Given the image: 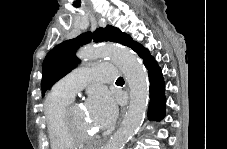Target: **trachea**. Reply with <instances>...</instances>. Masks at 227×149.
<instances>
[{"label":"trachea","mask_w":227,"mask_h":149,"mask_svg":"<svg viewBox=\"0 0 227 149\" xmlns=\"http://www.w3.org/2000/svg\"><path fill=\"white\" fill-rule=\"evenodd\" d=\"M116 82H124V79L122 77H119Z\"/></svg>","instance_id":"1"}]
</instances>
